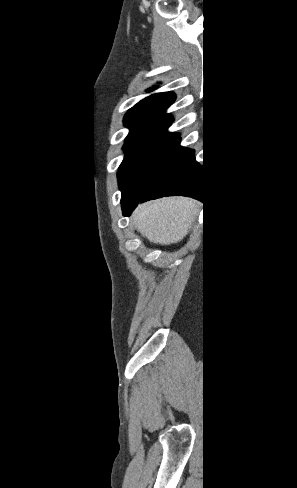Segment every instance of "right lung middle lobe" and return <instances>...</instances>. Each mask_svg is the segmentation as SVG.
<instances>
[{
    "mask_svg": "<svg viewBox=\"0 0 297 488\" xmlns=\"http://www.w3.org/2000/svg\"><path fill=\"white\" fill-rule=\"evenodd\" d=\"M175 134L135 133L128 135L123 149L125 158L119 167L118 180L122 198L128 196L151 163L165 150Z\"/></svg>",
    "mask_w": 297,
    "mask_h": 488,
    "instance_id": "dd1d6c3e",
    "label": "right lung middle lobe"
}]
</instances>
